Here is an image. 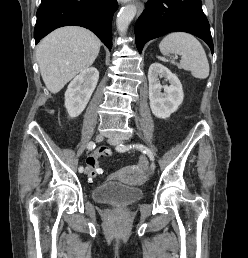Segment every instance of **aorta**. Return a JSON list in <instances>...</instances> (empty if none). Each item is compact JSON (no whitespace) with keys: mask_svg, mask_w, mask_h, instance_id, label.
Instances as JSON below:
<instances>
[{"mask_svg":"<svg viewBox=\"0 0 248 258\" xmlns=\"http://www.w3.org/2000/svg\"><path fill=\"white\" fill-rule=\"evenodd\" d=\"M136 11L135 5H127L120 10L116 19L117 30L120 34H125L127 32L129 24L136 15Z\"/></svg>","mask_w":248,"mask_h":258,"instance_id":"aorta-1","label":"aorta"}]
</instances>
